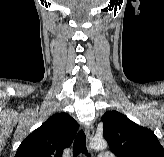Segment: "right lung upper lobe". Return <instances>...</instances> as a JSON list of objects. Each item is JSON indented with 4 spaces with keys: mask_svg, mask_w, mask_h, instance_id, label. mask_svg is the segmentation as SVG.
Segmentation results:
<instances>
[{
    "mask_svg": "<svg viewBox=\"0 0 164 157\" xmlns=\"http://www.w3.org/2000/svg\"><path fill=\"white\" fill-rule=\"evenodd\" d=\"M78 128L69 114L57 113L23 140L14 157H62Z\"/></svg>",
    "mask_w": 164,
    "mask_h": 157,
    "instance_id": "right-lung-upper-lobe-1",
    "label": "right lung upper lobe"
}]
</instances>
